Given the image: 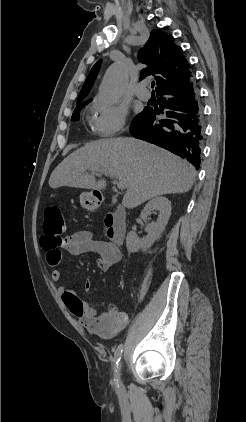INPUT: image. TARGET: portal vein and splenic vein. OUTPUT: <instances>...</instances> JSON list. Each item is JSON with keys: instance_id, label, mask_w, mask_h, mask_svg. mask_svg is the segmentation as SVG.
<instances>
[{"instance_id": "1", "label": "portal vein and splenic vein", "mask_w": 246, "mask_h": 422, "mask_svg": "<svg viewBox=\"0 0 246 422\" xmlns=\"http://www.w3.org/2000/svg\"><path fill=\"white\" fill-rule=\"evenodd\" d=\"M92 172L94 174H97V175H102V172H98L94 169H92ZM113 183L116 184L119 189H121V190L125 189V184L123 182L118 181V180H114Z\"/></svg>"}]
</instances>
